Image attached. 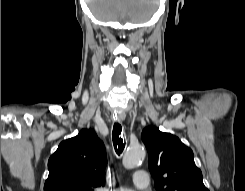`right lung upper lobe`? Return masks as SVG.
<instances>
[{
	"label": "right lung upper lobe",
	"mask_w": 245,
	"mask_h": 191,
	"mask_svg": "<svg viewBox=\"0 0 245 191\" xmlns=\"http://www.w3.org/2000/svg\"><path fill=\"white\" fill-rule=\"evenodd\" d=\"M105 147L91 129L62 141L49 158L44 191H94L105 184Z\"/></svg>",
	"instance_id": "right-lung-upper-lobe-1"
}]
</instances>
